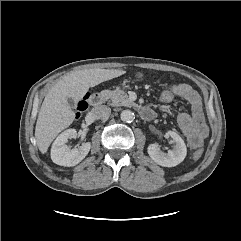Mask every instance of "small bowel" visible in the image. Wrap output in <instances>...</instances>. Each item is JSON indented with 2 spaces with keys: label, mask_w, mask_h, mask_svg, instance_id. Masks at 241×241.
Listing matches in <instances>:
<instances>
[{
  "label": "small bowel",
  "mask_w": 241,
  "mask_h": 241,
  "mask_svg": "<svg viewBox=\"0 0 241 241\" xmlns=\"http://www.w3.org/2000/svg\"><path fill=\"white\" fill-rule=\"evenodd\" d=\"M175 97L184 100L190 107L189 112H181L177 122L193 149L201 146L207 135L204 111L199 94L188 84L170 85Z\"/></svg>",
  "instance_id": "c3829d8e"
}]
</instances>
